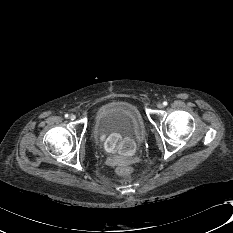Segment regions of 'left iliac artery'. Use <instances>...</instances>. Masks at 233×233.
I'll list each match as a JSON object with an SVG mask.
<instances>
[{"label": "left iliac artery", "mask_w": 233, "mask_h": 233, "mask_svg": "<svg viewBox=\"0 0 233 233\" xmlns=\"http://www.w3.org/2000/svg\"><path fill=\"white\" fill-rule=\"evenodd\" d=\"M163 105H164V106H167V105H168L167 101H164V102H163Z\"/></svg>", "instance_id": "1"}]
</instances>
